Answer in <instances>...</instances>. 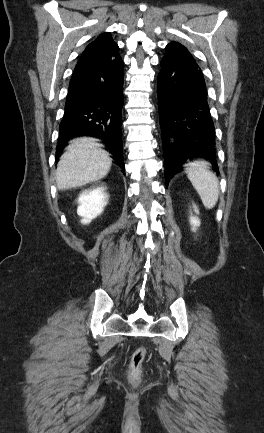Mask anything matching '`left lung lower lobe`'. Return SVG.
<instances>
[{"label":"left lung lower lobe","mask_w":264,"mask_h":433,"mask_svg":"<svg viewBox=\"0 0 264 433\" xmlns=\"http://www.w3.org/2000/svg\"><path fill=\"white\" fill-rule=\"evenodd\" d=\"M157 93L166 185L194 158L209 160L219 172L215 128L202 71L188 51H166Z\"/></svg>","instance_id":"1"}]
</instances>
